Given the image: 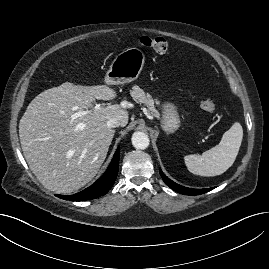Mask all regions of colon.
Returning a JSON list of instances; mask_svg holds the SVG:
<instances>
[{"label":"colon","mask_w":269,"mask_h":269,"mask_svg":"<svg viewBox=\"0 0 269 269\" xmlns=\"http://www.w3.org/2000/svg\"><path fill=\"white\" fill-rule=\"evenodd\" d=\"M140 44L149 50H152L159 54H164L168 50V43L162 37H148L143 36L140 38ZM201 107L203 110L214 113L217 109L215 103L208 97H205L201 100Z\"/></svg>","instance_id":"5ec220e1"}]
</instances>
